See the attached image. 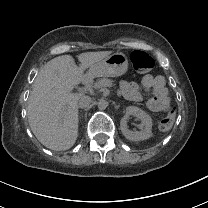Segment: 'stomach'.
Listing matches in <instances>:
<instances>
[{"mask_svg": "<svg viewBox=\"0 0 208 208\" xmlns=\"http://www.w3.org/2000/svg\"><path fill=\"white\" fill-rule=\"evenodd\" d=\"M129 71V60L125 53L115 52L95 64L89 75L94 77H120Z\"/></svg>", "mask_w": 208, "mask_h": 208, "instance_id": "obj_1", "label": "stomach"}]
</instances>
